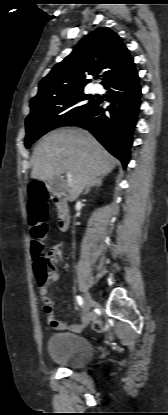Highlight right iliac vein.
I'll use <instances>...</instances> for the list:
<instances>
[{
  "mask_svg": "<svg viewBox=\"0 0 168 415\" xmlns=\"http://www.w3.org/2000/svg\"><path fill=\"white\" fill-rule=\"evenodd\" d=\"M93 305V299L89 292H85L84 294V306H83V313H82V321L87 322L90 315V309Z\"/></svg>",
  "mask_w": 168,
  "mask_h": 415,
  "instance_id": "63e3f726",
  "label": "right iliac vein"
}]
</instances>
